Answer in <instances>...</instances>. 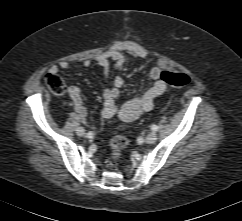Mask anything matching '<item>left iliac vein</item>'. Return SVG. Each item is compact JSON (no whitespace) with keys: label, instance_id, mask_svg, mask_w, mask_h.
I'll use <instances>...</instances> for the list:
<instances>
[{"label":"left iliac vein","instance_id":"left-iliac-vein-1","mask_svg":"<svg viewBox=\"0 0 242 221\" xmlns=\"http://www.w3.org/2000/svg\"><path fill=\"white\" fill-rule=\"evenodd\" d=\"M156 140H157V135L154 132L149 133L145 138V141L149 144L155 143Z\"/></svg>","mask_w":242,"mask_h":221}]
</instances>
